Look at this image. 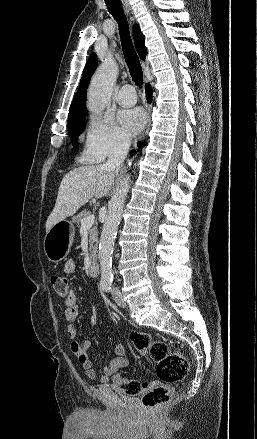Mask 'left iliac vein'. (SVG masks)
<instances>
[{
    "mask_svg": "<svg viewBox=\"0 0 257 439\" xmlns=\"http://www.w3.org/2000/svg\"><path fill=\"white\" fill-rule=\"evenodd\" d=\"M112 296L115 300V302L120 306V307H126L127 303L126 301L123 299V296L121 294V292L119 290H114L112 292Z\"/></svg>",
    "mask_w": 257,
    "mask_h": 439,
    "instance_id": "obj_1",
    "label": "left iliac vein"
}]
</instances>
